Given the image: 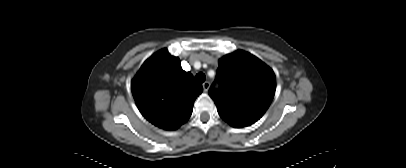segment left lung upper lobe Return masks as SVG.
Here are the masks:
<instances>
[{"label":"left lung upper lobe","mask_w":406,"mask_h":168,"mask_svg":"<svg viewBox=\"0 0 406 168\" xmlns=\"http://www.w3.org/2000/svg\"><path fill=\"white\" fill-rule=\"evenodd\" d=\"M216 80L220 90L211 86L221 118L227 121L253 124L268 109L276 88L275 74L260 59L242 50L219 60Z\"/></svg>","instance_id":"5c2ea615"}]
</instances>
